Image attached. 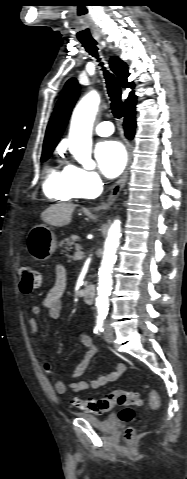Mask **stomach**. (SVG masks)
<instances>
[{
  "instance_id": "obj_1",
  "label": "stomach",
  "mask_w": 187,
  "mask_h": 479,
  "mask_svg": "<svg viewBox=\"0 0 187 479\" xmlns=\"http://www.w3.org/2000/svg\"><path fill=\"white\" fill-rule=\"evenodd\" d=\"M27 249L37 261L48 260L56 249V238L46 225L33 227L27 235Z\"/></svg>"
}]
</instances>
